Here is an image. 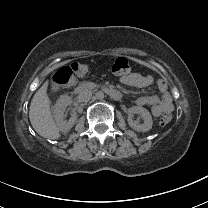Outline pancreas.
I'll return each mask as SVG.
<instances>
[{
  "mask_svg": "<svg viewBox=\"0 0 208 208\" xmlns=\"http://www.w3.org/2000/svg\"><path fill=\"white\" fill-rule=\"evenodd\" d=\"M82 85H87V82H83ZM99 87H100V85L95 84V88H99Z\"/></svg>",
  "mask_w": 208,
  "mask_h": 208,
  "instance_id": "obj_1",
  "label": "pancreas"
}]
</instances>
